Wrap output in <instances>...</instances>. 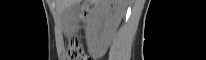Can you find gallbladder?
<instances>
[{"instance_id": "gallbladder-1", "label": "gallbladder", "mask_w": 206, "mask_h": 60, "mask_svg": "<svg viewBox=\"0 0 206 60\" xmlns=\"http://www.w3.org/2000/svg\"><path fill=\"white\" fill-rule=\"evenodd\" d=\"M82 7L80 2H74L61 13L62 26L65 30L75 28L80 22Z\"/></svg>"}]
</instances>
